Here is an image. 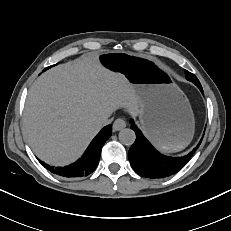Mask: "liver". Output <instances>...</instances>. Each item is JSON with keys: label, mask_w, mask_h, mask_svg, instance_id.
Returning <instances> with one entry per match:
<instances>
[{"label": "liver", "mask_w": 231, "mask_h": 231, "mask_svg": "<svg viewBox=\"0 0 231 231\" xmlns=\"http://www.w3.org/2000/svg\"><path fill=\"white\" fill-rule=\"evenodd\" d=\"M141 113L133 86L91 53L42 74L30 87L23 133L39 159L55 166L74 162L116 109Z\"/></svg>", "instance_id": "obj_1"}]
</instances>
